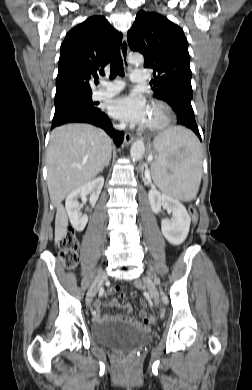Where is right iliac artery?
Segmentation results:
<instances>
[{"label":"right iliac artery","instance_id":"right-iliac-artery-1","mask_svg":"<svg viewBox=\"0 0 252 390\" xmlns=\"http://www.w3.org/2000/svg\"><path fill=\"white\" fill-rule=\"evenodd\" d=\"M104 289H105V286H104V285H101V286H100V289H99V295H100V296H103V295H104ZM89 315H90V316H93V315H95V312L90 311V312H89Z\"/></svg>","mask_w":252,"mask_h":390}]
</instances>
